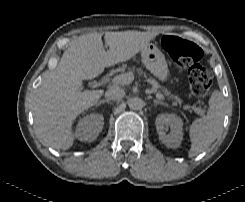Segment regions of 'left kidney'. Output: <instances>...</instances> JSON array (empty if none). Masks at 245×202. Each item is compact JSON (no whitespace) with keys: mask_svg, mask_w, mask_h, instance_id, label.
Wrapping results in <instances>:
<instances>
[{"mask_svg":"<svg viewBox=\"0 0 245 202\" xmlns=\"http://www.w3.org/2000/svg\"><path fill=\"white\" fill-rule=\"evenodd\" d=\"M156 130L159 140L169 148H178L183 139V121L174 114H161L157 116ZM170 128V133H166Z\"/></svg>","mask_w":245,"mask_h":202,"instance_id":"left-kidney-1","label":"left kidney"}]
</instances>
